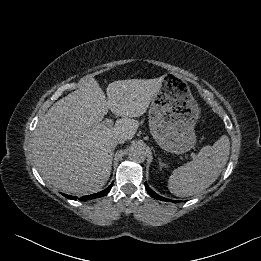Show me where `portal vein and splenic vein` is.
<instances>
[{
	"instance_id": "1",
	"label": "portal vein and splenic vein",
	"mask_w": 261,
	"mask_h": 261,
	"mask_svg": "<svg viewBox=\"0 0 261 261\" xmlns=\"http://www.w3.org/2000/svg\"><path fill=\"white\" fill-rule=\"evenodd\" d=\"M113 125V121L110 118H106L103 122L97 123L96 128H104V127H111ZM190 156L192 158H196L195 153H191Z\"/></svg>"
}]
</instances>
